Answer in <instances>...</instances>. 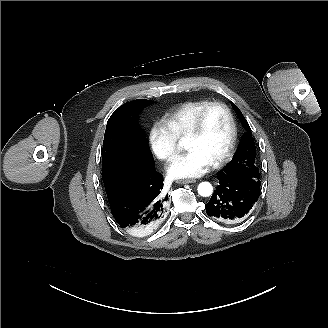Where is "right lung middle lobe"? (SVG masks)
Listing matches in <instances>:
<instances>
[{
    "label": "right lung middle lobe",
    "mask_w": 328,
    "mask_h": 328,
    "mask_svg": "<svg viewBox=\"0 0 328 328\" xmlns=\"http://www.w3.org/2000/svg\"><path fill=\"white\" fill-rule=\"evenodd\" d=\"M153 101L138 99L120 106L109 118L102 149V179L107 197L133 175L147 173L154 164L136 117Z\"/></svg>",
    "instance_id": "right-lung-middle-lobe-1"
}]
</instances>
